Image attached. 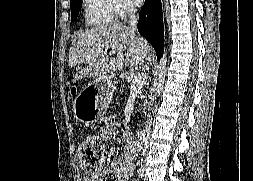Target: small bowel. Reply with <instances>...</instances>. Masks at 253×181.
I'll use <instances>...</instances> for the list:
<instances>
[{
	"instance_id": "small-bowel-1",
	"label": "small bowel",
	"mask_w": 253,
	"mask_h": 181,
	"mask_svg": "<svg viewBox=\"0 0 253 181\" xmlns=\"http://www.w3.org/2000/svg\"><path fill=\"white\" fill-rule=\"evenodd\" d=\"M117 127V124L113 121H107L103 127L101 128V136L103 137L104 140L110 141L115 129ZM123 138L125 142L127 143H132L133 142V137L130 133L128 132H123ZM133 156L134 153L132 151H127L125 154L124 159L122 160H113L110 164L111 169L108 171H105L100 174H95L90 177H87L85 181H103L104 177L107 174H113L115 177L116 181H127L132 175L133 171Z\"/></svg>"
}]
</instances>
